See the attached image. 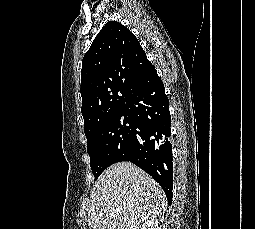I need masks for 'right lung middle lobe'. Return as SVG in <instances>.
I'll use <instances>...</instances> for the list:
<instances>
[{
	"mask_svg": "<svg viewBox=\"0 0 255 229\" xmlns=\"http://www.w3.org/2000/svg\"><path fill=\"white\" fill-rule=\"evenodd\" d=\"M133 132L132 118L120 111L87 138V152L95 179L110 165L130 157Z\"/></svg>",
	"mask_w": 255,
	"mask_h": 229,
	"instance_id": "1",
	"label": "right lung middle lobe"
}]
</instances>
